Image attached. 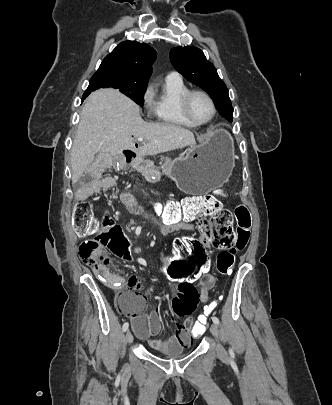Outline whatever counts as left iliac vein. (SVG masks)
<instances>
[{"label":"left iliac vein","mask_w":332,"mask_h":405,"mask_svg":"<svg viewBox=\"0 0 332 405\" xmlns=\"http://www.w3.org/2000/svg\"><path fill=\"white\" fill-rule=\"evenodd\" d=\"M210 331L212 333V335L215 337L216 339V349H217V353L219 356H225L226 355V351L224 349V347L220 344L219 342V330H218V326L215 323H212L210 326Z\"/></svg>","instance_id":"1"}]
</instances>
